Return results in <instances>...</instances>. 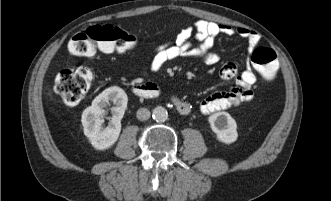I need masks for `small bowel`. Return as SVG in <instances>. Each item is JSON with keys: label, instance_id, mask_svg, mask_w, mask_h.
<instances>
[{"label": "small bowel", "instance_id": "1", "mask_svg": "<svg viewBox=\"0 0 331 201\" xmlns=\"http://www.w3.org/2000/svg\"><path fill=\"white\" fill-rule=\"evenodd\" d=\"M219 35H237L245 39L248 42L249 51H252L260 41L259 35L253 30L198 20L193 26L182 29L171 43L161 45L156 49L149 70L157 72L167 62L178 58H200L205 64L213 65L219 61V55L212 51ZM192 38L196 40V44L192 43ZM220 77L225 81L234 80L235 86L228 91L215 92L205 98L199 106V111L204 115L238 106L253 97L252 86L256 81V75L249 62L241 73H238L237 65L234 62L225 63L220 69ZM171 103L183 116H188L193 112L189 103L176 96L171 98Z\"/></svg>", "mask_w": 331, "mask_h": 201}]
</instances>
